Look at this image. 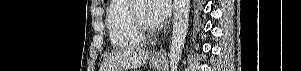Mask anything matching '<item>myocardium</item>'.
<instances>
[{"label": "myocardium", "mask_w": 301, "mask_h": 71, "mask_svg": "<svg viewBox=\"0 0 301 71\" xmlns=\"http://www.w3.org/2000/svg\"><path fill=\"white\" fill-rule=\"evenodd\" d=\"M140 0H133L130 4V17L136 31L144 38L152 37L156 32V27L147 24L137 12V3Z\"/></svg>", "instance_id": "1"}]
</instances>
